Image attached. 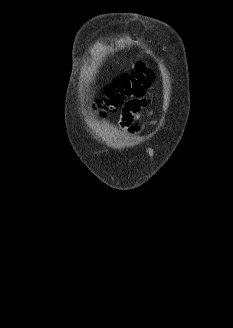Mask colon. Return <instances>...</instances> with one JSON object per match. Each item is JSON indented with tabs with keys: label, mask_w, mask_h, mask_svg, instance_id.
Returning <instances> with one entry per match:
<instances>
[{
	"label": "colon",
	"mask_w": 233,
	"mask_h": 328,
	"mask_svg": "<svg viewBox=\"0 0 233 328\" xmlns=\"http://www.w3.org/2000/svg\"><path fill=\"white\" fill-rule=\"evenodd\" d=\"M154 80V74L143 61L136 63L129 73L117 76L109 83L103 93L102 99L96 101L98 106L103 104L109 108H118L125 97L143 96Z\"/></svg>",
	"instance_id": "5ec220e1"
}]
</instances>
